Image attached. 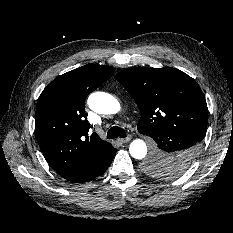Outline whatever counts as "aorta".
<instances>
[{
  "mask_svg": "<svg viewBox=\"0 0 233 233\" xmlns=\"http://www.w3.org/2000/svg\"><path fill=\"white\" fill-rule=\"evenodd\" d=\"M89 107L99 114H115L120 109L119 101L105 92H94L88 97ZM129 152L135 159H143L147 154V146L141 139H135L129 146Z\"/></svg>",
  "mask_w": 233,
  "mask_h": 233,
  "instance_id": "762f6f07",
  "label": "aorta"
}]
</instances>
